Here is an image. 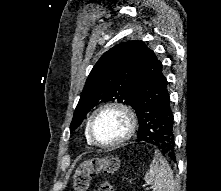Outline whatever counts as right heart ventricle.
I'll return each mask as SVG.
<instances>
[{"instance_id": "1", "label": "right heart ventricle", "mask_w": 221, "mask_h": 191, "mask_svg": "<svg viewBox=\"0 0 221 191\" xmlns=\"http://www.w3.org/2000/svg\"><path fill=\"white\" fill-rule=\"evenodd\" d=\"M85 135H86V140H87L88 144H91V142H90V140H89V137H88V134H87V129H86Z\"/></svg>"}]
</instances>
